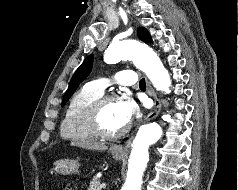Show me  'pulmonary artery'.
I'll return each mask as SVG.
<instances>
[{"mask_svg": "<svg viewBox=\"0 0 238 190\" xmlns=\"http://www.w3.org/2000/svg\"><path fill=\"white\" fill-rule=\"evenodd\" d=\"M114 81L120 85L131 86L136 84L137 77L132 70H122L114 75ZM111 81L107 78H100L88 83V87L96 92L103 94L104 90L110 85Z\"/></svg>", "mask_w": 238, "mask_h": 190, "instance_id": "obj_1", "label": "pulmonary artery"}]
</instances>
